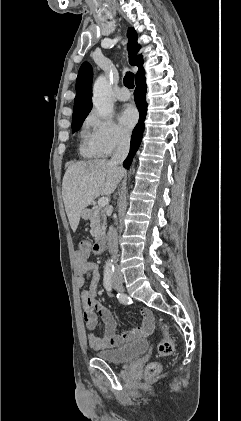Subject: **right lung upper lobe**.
<instances>
[{
  "mask_svg": "<svg viewBox=\"0 0 241 421\" xmlns=\"http://www.w3.org/2000/svg\"><path fill=\"white\" fill-rule=\"evenodd\" d=\"M127 37L129 39L127 44L129 63L138 66L140 71L142 69L143 60L141 55L137 56L140 45L137 43V33L134 28L128 29ZM91 92L92 68L88 63H83L79 69L78 77L76 80V97L74 100L72 118L88 115L92 108Z\"/></svg>",
  "mask_w": 241,
  "mask_h": 421,
  "instance_id": "cb5924a9",
  "label": "right lung upper lobe"
}]
</instances>
